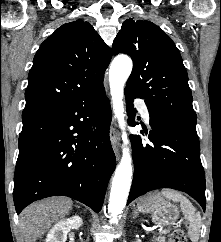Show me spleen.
Listing matches in <instances>:
<instances>
[{
	"label": "spleen",
	"instance_id": "1",
	"mask_svg": "<svg viewBox=\"0 0 221 242\" xmlns=\"http://www.w3.org/2000/svg\"><path fill=\"white\" fill-rule=\"evenodd\" d=\"M161 194L169 200L180 202L183 215L189 221V237L192 242H197L200 234L201 220L200 214L196 213V209L192 203L181 193L172 189H164L161 191Z\"/></svg>",
	"mask_w": 221,
	"mask_h": 242
}]
</instances>
